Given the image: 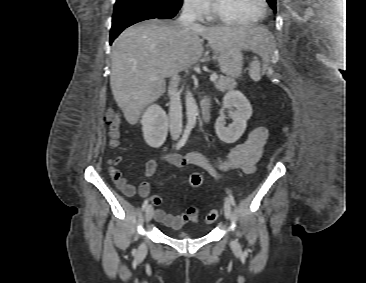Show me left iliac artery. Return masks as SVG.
<instances>
[{"label":"left iliac artery","instance_id":"left-iliac-artery-1","mask_svg":"<svg viewBox=\"0 0 366 283\" xmlns=\"http://www.w3.org/2000/svg\"><path fill=\"white\" fill-rule=\"evenodd\" d=\"M229 202L232 204V205H235V200H234V197L231 195V193H229Z\"/></svg>","mask_w":366,"mask_h":283}]
</instances>
